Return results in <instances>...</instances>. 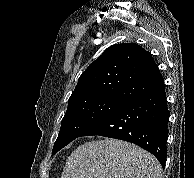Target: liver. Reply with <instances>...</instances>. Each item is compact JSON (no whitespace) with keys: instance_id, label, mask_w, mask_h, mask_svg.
<instances>
[{"instance_id":"6515ba94","label":"liver","mask_w":194,"mask_h":178,"mask_svg":"<svg viewBox=\"0 0 194 178\" xmlns=\"http://www.w3.org/2000/svg\"><path fill=\"white\" fill-rule=\"evenodd\" d=\"M61 178H162V168L144 149L105 138L77 147L68 157Z\"/></svg>"}]
</instances>
